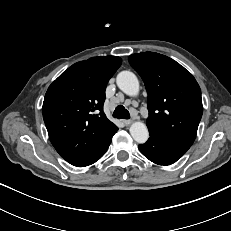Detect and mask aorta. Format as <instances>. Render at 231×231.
I'll use <instances>...</instances> for the list:
<instances>
[{
    "mask_svg": "<svg viewBox=\"0 0 231 231\" xmlns=\"http://www.w3.org/2000/svg\"><path fill=\"white\" fill-rule=\"evenodd\" d=\"M117 86L125 94L134 96L139 91V81L136 75L130 71H122L116 78ZM130 134L137 143H145L148 140L149 132L147 126L140 121L132 123L130 126Z\"/></svg>",
    "mask_w": 231,
    "mask_h": 231,
    "instance_id": "aorta-1",
    "label": "aorta"
}]
</instances>
